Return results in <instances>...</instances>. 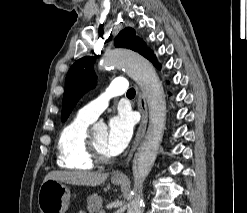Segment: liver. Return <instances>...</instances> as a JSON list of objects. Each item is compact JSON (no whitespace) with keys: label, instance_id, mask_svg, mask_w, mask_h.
Wrapping results in <instances>:
<instances>
[{"label":"liver","instance_id":"1","mask_svg":"<svg viewBox=\"0 0 247 213\" xmlns=\"http://www.w3.org/2000/svg\"><path fill=\"white\" fill-rule=\"evenodd\" d=\"M108 175V173L102 172L52 171L45 176L44 181L52 179L72 185L94 187L102 184L108 178Z\"/></svg>","mask_w":247,"mask_h":213}]
</instances>
